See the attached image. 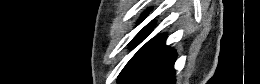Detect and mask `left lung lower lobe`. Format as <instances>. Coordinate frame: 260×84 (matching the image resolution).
Here are the masks:
<instances>
[{
    "mask_svg": "<svg viewBox=\"0 0 260 84\" xmlns=\"http://www.w3.org/2000/svg\"><path fill=\"white\" fill-rule=\"evenodd\" d=\"M153 24L146 26L135 38L132 46L138 45L151 31ZM165 35L148 41L126 64L119 75V84H175L174 62L176 53L166 47Z\"/></svg>",
    "mask_w": 260,
    "mask_h": 84,
    "instance_id": "obj_1",
    "label": "left lung lower lobe"
}]
</instances>
